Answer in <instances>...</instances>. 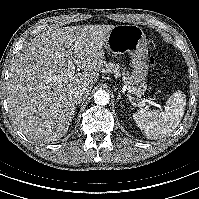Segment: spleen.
Listing matches in <instances>:
<instances>
[{"mask_svg":"<svg viewBox=\"0 0 199 199\" xmlns=\"http://www.w3.org/2000/svg\"><path fill=\"white\" fill-rule=\"evenodd\" d=\"M186 95L176 91L168 99L162 110L138 111L133 119L148 139H159L172 133L185 112Z\"/></svg>","mask_w":199,"mask_h":199,"instance_id":"spleen-1","label":"spleen"}]
</instances>
